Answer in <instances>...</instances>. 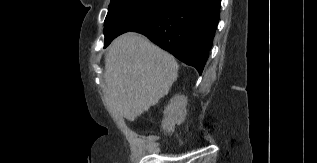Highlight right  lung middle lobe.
<instances>
[{
    "instance_id": "1",
    "label": "right lung middle lobe",
    "mask_w": 317,
    "mask_h": 163,
    "mask_svg": "<svg viewBox=\"0 0 317 163\" xmlns=\"http://www.w3.org/2000/svg\"><path fill=\"white\" fill-rule=\"evenodd\" d=\"M172 0H111L104 24L105 44L148 21Z\"/></svg>"
}]
</instances>
